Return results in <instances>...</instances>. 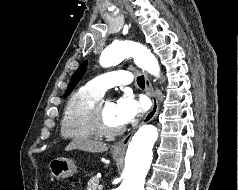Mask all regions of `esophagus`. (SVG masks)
<instances>
[{
    "label": "esophagus",
    "instance_id": "obj_1",
    "mask_svg": "<svg viewBox=\"0 0 238 190\" xmlns=\"http://www.w3.org/2000/svg\"><path fill=\"white\" fill-rule=\"evenodd\" d=\"M144 77H145V86H146V92L149 95V97L152 100V108L151 110L147 113V115L145 116V118L143 119L142 124L148 123L150 122L152 119H154V117L157 116L158 111H159V101L157 98V95L154 91V88L152 87V84L148 78V75L146 73H144ZM132 131L131 133H129L127 136H125L122 140L118 141L117 143H115L112 146V149L116 152H124L127 145L129 144L131 137L133 135Z\"/></svg>",
    "mask_w": 238,
    "mask_h": 190
}]
</instances>
